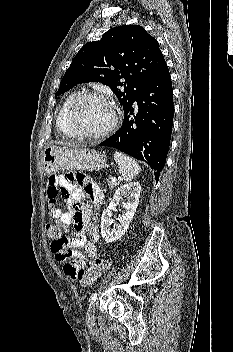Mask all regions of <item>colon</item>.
I'll return each mask as SVG.
<instances>
[{
	"label": "colon",
	"instance_id": "5ec220e1",
	"mask_svg": "<svg viewBox=\"0 0 233 352\" xmlns=\"http://www.w3.org/2000/svg\"><path fill=\"white\" fill-rule=\"evenodd\" d=\"M48 236L61 247L66 246L68 238L65 229L50 222L46 226ZM109 267V261L105 257H97L87 268L78 271L76 278L82 288L92 285Z\"/></svg>",
	"mask_w": 233,
	"mask_h": 352
}]
</instances>
